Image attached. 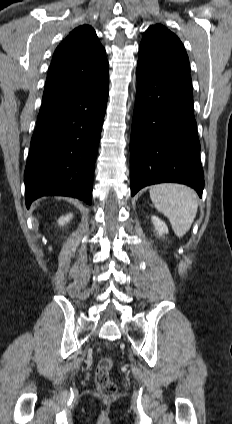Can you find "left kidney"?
Masks as SVG:
<instances>
[{"label":"left kidney","instance_id":"1","mask_svg":"<svg viewBox=\"0 0 232 424\" xmlns=\"http://www.w3.org/2000/svg\"><path fill=\"white\" fill-rule=\"evenodd\" d=\"M151 219L155 227V231L157 232L159 236H162L168 233V227L161 219H159L157 216H152Z\"/></svg>","mask_w":232,"mask_h":424}]
</instances>
